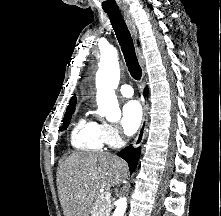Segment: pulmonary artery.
Masks as SVG:
<instances>
[{"mask_svg": "<svg viewBox=\"0 0 221 216\" xmlns=\"http://www.w3.org/2000/svg\"><path fill=\"white\" fill-rule=\"evenodd\" d=\"M120 92L124 97H132L134 95V90L131 85L123 84L120 86Z\"/></svg>", "mask_w": 221, "mask_h": 216, "instance_id": "1", "label": "pulmonary artery"}]
</instances>
